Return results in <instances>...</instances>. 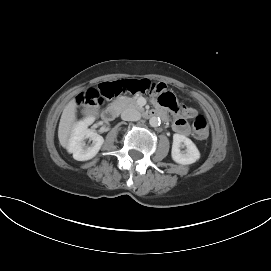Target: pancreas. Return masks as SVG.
Segmentation results:
<instances>
[{
  "mask_svg": "<svg viewBox=\"0 0 271 271\" xmlns=\"http://www.w3.org/2000/svg\"><path fill=\"white\" fill-rule=\"evenodd\" d=\"M114 105L120 107V109L125 110L126 108H137L141 109L134 98L120 97L113 102Z\"/></svg>",
  "mask_w": 271,
  "mask_h": 271,
  "instance_id": "cf45deb5",
  "label": "pancreas"
}]
</instances>
